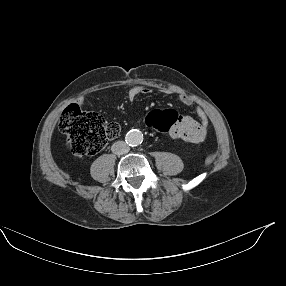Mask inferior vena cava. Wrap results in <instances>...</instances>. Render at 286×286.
Segmentation results:
<instances>
[{
	"instance_id": "obj_1",
	"label": "inferior vena cava",
	"mask_w": 286,
	"mask_h": 286,
	"mask_svg": "<svg viewBox=\"0 0 286 286\" xmlns=\"http://www.w3.org/2000/svg\"><path fill=\"white\" fill-rule=\"evenodd\" d=\"M129 149V146L124 141H117L111 147L112 152L117 155L125 154Z\"/></svg>"
}]
</instances>
